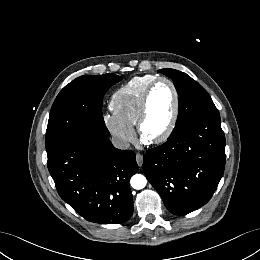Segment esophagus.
<instances>
[{"instance_id": "esophagus-1", "label": "esophagus", "mask_w": 260, "mask_h": 260, "mask_svg": "<svg viewBox=\"0 0 260 260\" xmlns=\"http://www.w3.org/2000/svg\"><path fill=\"white\" fill-rule=\"evenodd\" d=\"M136 162H137L138 166L141 167L142 164H143V155L137 153V154H136Z\"/></svg>"}]
</instances>
